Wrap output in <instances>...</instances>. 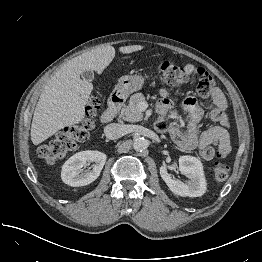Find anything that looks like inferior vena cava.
Wrapping results in <instances>:
<instances>
[{
	"label": "inferior vena cava",
	"mask_w": 262,
	"mask_h": 262,
	"mask_svg": "<svg viewBox=\"0 0 262 262\" xmlns=\"http://www.w3.org/2000/svg\"><path fill=\"white\" fill-rule=\"evenodd\" d=\"M126 134V128L124 125L111 123L105 126L104 128V135L108 139H117Z\"/></svg>",
	"instance_id": "inferior-vena-cava-1"
}]
</instances>
